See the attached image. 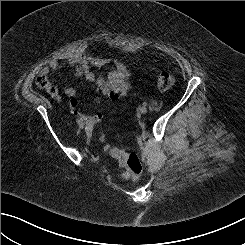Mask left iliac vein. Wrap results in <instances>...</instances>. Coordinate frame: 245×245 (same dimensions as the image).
<instances>
[{
    "label": "left iliac vein",
    "instance_id": "left-iliac-vein-1",
    "mask_svg": "<svg viewBox=\"0 0 245 245\" xmlns=\"http://www.w3.org/2000/svg\"><path fill=\"white\" fill-rule=\"evenodd\" d=\"M147 111H148V109H147L146 107H141V108L139 109V112H140L141 114H145V113H147Z\"/></svg>",
    "mask_w": 245,
    "mask_h": 245
}]
</instances>
